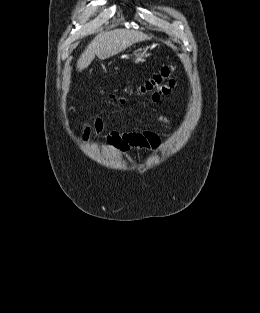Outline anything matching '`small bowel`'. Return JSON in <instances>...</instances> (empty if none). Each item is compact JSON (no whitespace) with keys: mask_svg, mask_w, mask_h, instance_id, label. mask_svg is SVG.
I'll return each mask as SVG.
<instances>
[{"mask_svg":"<svg viewBox=\"0 0 260 313\" xmlns=\"http://www.w3.org/2000/svg\"><path fill=\"white\" fill-rule=\"evenodd\" d=\"M158 120L168 123V118L164 116L158 117ZM102 138L104 133V122L97 117L91 122L84 125L81 139L83 143H87L92 133ZM108 148L112 152L119 154L127 153L131 148H138L143 152L158 151L162 146L159 135L151 130L131 129L128 131L114 130L105 136Z\"/></svg>","mask_w":260,"mask_h":313,"instance_id":"obj_1","label":"small bowel"}]
</instances>
